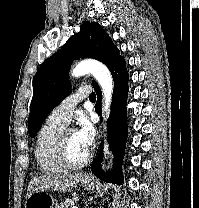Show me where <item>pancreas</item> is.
<instances>
[{"label": "pancreas", "mask_w": 199, "mask_h": 208, "mask_svg": "<svg viewBox=\"0 0 199 208\" xmlns=\"http://www.w3.org/2000/svg\"><path fill=\"white\" fill-rule=\"evenodd\" d=\"M72 199H66L59 204H56L55 208H69Z\"/></svg>", "instance_id": "obj_1"}]
</instances>
